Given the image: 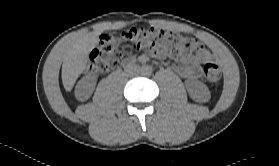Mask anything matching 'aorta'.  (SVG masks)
<instances>
[{
  "instance_id": "762f6f07",
  "label": "aorta",
  "mask_w": 279,
  "mask_h": 166,
  "mask_svg": "<svg viewBox=\"0 0 279 166\" xmlns=\"http://www.w3.org/2000/svg\"><path fill=\"white\" fill-rule=\"evenodd\" d=\"M152 73V68L150 66H143L141 69V74L144 76H149Z\"/></svg>"
}]
</instances>
